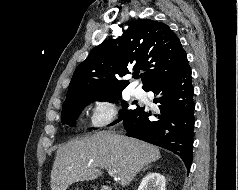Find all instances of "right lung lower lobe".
I'll return each instance as SVG.
<instances>
[{
  "label": "right lung lower lobe",
  "instance_id": "obj_1",
  "mask_svg": "<svg viewBox=\"0 0 238 190\" xmlns=\"http://www.w3.org/2000/svg\"><path fill=\"white\" fill-rule=\"evenodd\" d=\"M146 91L154 92L159 103L156 119L144 107L138 108L123 119V126L130 136L168 149L181 157L187 170L193 159L194 88L191 69L187 60L171 76L155 83Z\"/></svg>",
  "mask_w": 238,
  "mask_h": 190
}]
</instances>
